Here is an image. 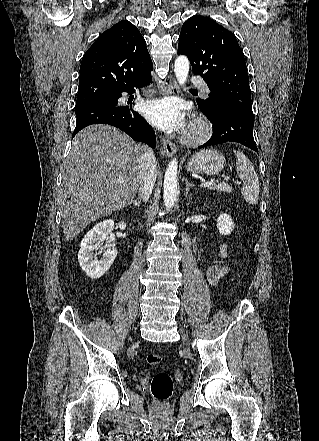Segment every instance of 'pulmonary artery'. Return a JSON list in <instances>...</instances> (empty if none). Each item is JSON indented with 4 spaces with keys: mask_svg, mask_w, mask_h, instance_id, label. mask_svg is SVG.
Segmentation results:
<instances>
[{
    "mask_svg": "<svg viewBox=\"0 0 319 441\" xmlns=\"http://www.w3.org/2000/svg\"><path fill=\"white\" fill-rule=\"evenodd\" d=\"M191 82H192L193 84L199 86V87L201 88V90H202L206 95H208V94L210 93V89H209V87L207 86V84L205 83V81H204L202 78L197 77V76H194V77L191 78Z\"/></svg>",
    "mask_w": 319,
    "mask_h": 441,
    "instance_id": "e3ab8cb5",
    "label": "pulmonary artery"
}]
</instances>
